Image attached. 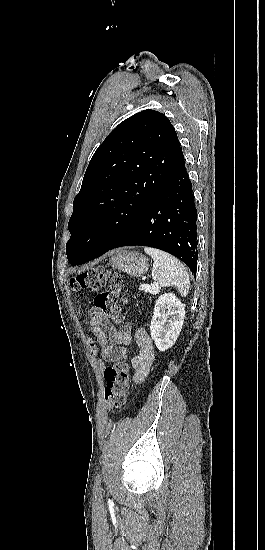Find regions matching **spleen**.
<instances>
[{
	"label": "spleen",
	"instance_id": "3e777b00",
	"mask_svg": "<svg viewBox=\"0 0 265 550\" xmlns=\"http://www.w3.org/2000/svg\"><path fill=\"white\" fill-rule=\"evenodd\" d=\"M144 251L154 260L152 277L160 287L174 286L181 296H186L190 281L184 265L174 256L159 249L145 247Z\"/></svg>",
	"mask_w": 265,
	"mask_h": 550
}]
</instances>
